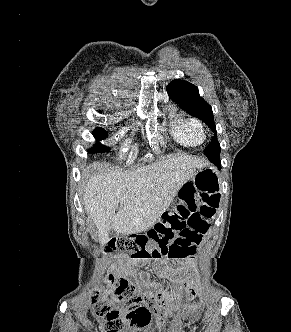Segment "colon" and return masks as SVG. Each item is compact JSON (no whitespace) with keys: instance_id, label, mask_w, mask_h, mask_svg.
Here are the masks:
<instances>
[{"instance_id":"1","label":"colon","mask_w":291,"mask_h":332,"mask_svg":"<svg viewBox=\"0 0 291 332\" xmlns=\"http://www.w3.org/2000/svg\"><path fill=\"white\" fill-rule=\"evenodd\" d=\"M219 197L208 192H197L195 188L180 193V202L162 221L146 233L126 237L112 238L106 248L108 251L121 250L138 260H154L167 257L172 260L185 259L195 254L196 247L202 241L216 216ZM109 281L114 283L112 276ZM134 287L125 278H119L115 284V294L119 300L127 298L128 314L126 319L135 332H144L150 320L149 310L142 305V298L134 295ZM92 302L99 315H106V332H118L124 319L117 310L108 305ZM197 308L181 313L174 321L169 332H182L185 321Z\"/></svg>"}]
</instances>
